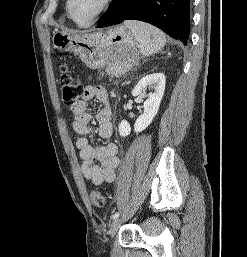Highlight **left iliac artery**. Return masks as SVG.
<instances>
[{
    "instance_id": "left-iliac-artery-1",
    "label": "left iliac artery",
    "mask_w": 247,
    "mask_h": 257,
    "mask_svg": "<svg viewBox=\"0 0 247 257\" xmlns=\"http://www.w3.org/2000/svg\"><path fill=\"white\" fill-rule=\"evenodd\" d=\"M119 215H120V213H119V212H116L115 214H113V215H112V219H116V218H118V217H119Z\"/></svg>"
}]
</instances>
